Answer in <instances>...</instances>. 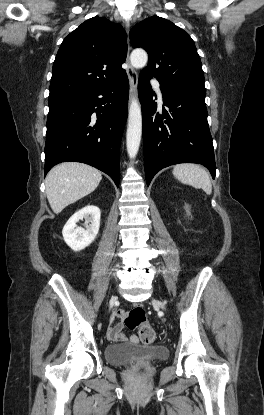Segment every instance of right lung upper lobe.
Segmentation results:
<instances>
[{"mask_svg": "<svg viewBox=\"0 0 264 415\" xmlns=\"http://www.w3.org/2000/svg\"><path fill=\"white\" fill-rule=\"evenodd\" d=\"M126 33L104 17L83 22L62 42L52 69L49 101L107 85L125 70Z\"/></svg>", "mask_w": 264, "mask_h": 415, "instance_id": "right-lung-upper-lobe-1", "label": "right lung upper lobe"}]
</instances>
